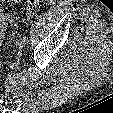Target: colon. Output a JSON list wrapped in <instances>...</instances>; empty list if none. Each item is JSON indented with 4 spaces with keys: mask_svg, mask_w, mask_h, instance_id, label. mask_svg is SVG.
Masks as SVG:
<instances>
[{
    "mask_svg": "<svg viewBox=\"0 0 113 113\" xmlns=\"http://www.w3.org/2000/svg\"><path fill=\"white\" fill-rule=\"evenodd\" d=\"M8 2H18L19 0H7ZM41 2V0H28L26 1V10L28 13H34L37 9V6L39 5V3Z\"/></svg>",
    "mask_w": 113,
    "mask_h": 113,
    "instance_id": "5ec220e1",
    "label": "colon"
}]
</instances>
